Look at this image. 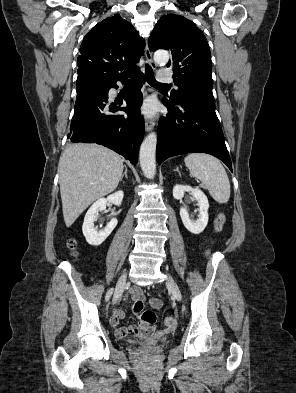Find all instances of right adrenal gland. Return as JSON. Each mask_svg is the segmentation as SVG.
Instances as JSON below:
<instances>
[{
	"mask_svg": "<svg viewBox=\"0 0 296 393\" xmlns=\"http://www.w3.org/2000/svg\"><path fill=\"white\" fill-rule=\"evenodd\" d=\"M124 168H125V171H124L123 175L121 176V181H123V177H124V176H125L126 178H128V176H127V166L124 165Z\"/></svg>",
	"mask_w": 296,
	"mask_h": 393,
	"instance_id": "obj_1",
	"label": "right adrenal gland"
}]
</instances>
